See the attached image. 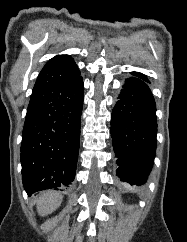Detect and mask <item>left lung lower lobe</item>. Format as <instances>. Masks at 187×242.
<instances>
[{"instance_id":"left-lung-lower-lobe-1","label":"left lung lower lobe","mask_w":187,"mask_h":242,"mask_svg":"<svg viewBox=\"0 0 187 242\" xmlns=\"http://www.w3.org/2000/svg\"><path fill=\"white\" fill-rule=\"evenodd\" d=\"M145 82L140 77L126 79L111 116L117 176L137 186L146 183L156 153V106Z\"/></svg>"}]
</instances>
